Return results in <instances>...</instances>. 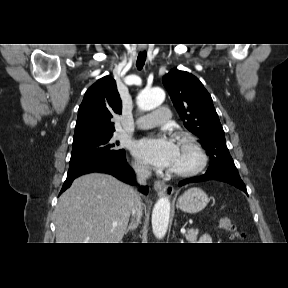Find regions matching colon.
Listing matches in <instances>:
<instances>
[{
    "label": "colon",
    "instance_id": "obj_1",
    "mask_svg": "<svg viewBox=\"0 0 288 288\" xmlns=\"http://www.w3.org/2000/svg\"><path fill=\"white\" fill-rule=\"evenodd\" d=\"M218 224L219 227L229 233L232 238L240 237V234L237 232L235 225L232 223L229 217H221Z\"/></svg>",
    "mask_w": 288,
    "mask_h": 288
}]
</instances>
